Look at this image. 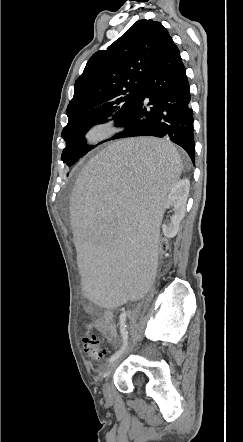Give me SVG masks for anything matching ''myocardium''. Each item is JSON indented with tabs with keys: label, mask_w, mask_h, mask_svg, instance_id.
I'll use <instances>...</instances> for the list:
<instances>
[{
	"label": "myocardium",
	"mask_w": 243,
	"mask_h": 442,
	"mask_svg": "<svg viewBox=\"0 0 243 442\" xmlns=\"http://www.w3.org/2000/svg\"><path fill=\"white\" fill-rule=\"evenodd\" d=\"M119 131L115 119L104 117L90 123L83 131L82 138L89 145H97L114 137Z\"/></svg>",
	"instance_id": "1"
}]
</instances>
